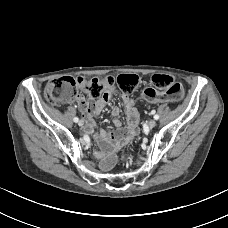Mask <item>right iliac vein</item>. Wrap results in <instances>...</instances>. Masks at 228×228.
<instances>
[{"instance_id":"obj_1","label":"right iliac vein","mask_w":228,"mask_h":228,"mask_svg":"<svg viewBox=\"0 0 228 228\" xmlns=\"http://www.w3.org/2000/svg\"><path fill=\"white\" fill-rule=\"evenodd\" d=\"M78 125L79 126H83L84 125V121L83 120L78 121Z\"/></svg>"}]
</instances>
